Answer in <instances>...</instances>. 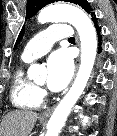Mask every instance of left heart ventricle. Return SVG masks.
Here are the masks:
<instances>
[{"instance_id":"1","label":"left heart ventricle","mask_w":117,"mask_h":136,"mask_svg":"<svg viewBox=\"0 0 117 136\" xmlns=\"http://www.w3.org/2000/svg\"><path fill=\"white\" fill-rule=\"evenodd\" d=\"M43 83H44V79L39 82V84H43Z\"/></svg>"}]
</instances>
